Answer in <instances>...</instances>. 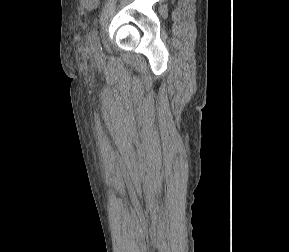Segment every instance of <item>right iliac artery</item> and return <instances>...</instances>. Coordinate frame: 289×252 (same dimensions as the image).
Instances as JSON below:
<instances>
[{
    "label": "right iliac artery",
    "mask_w": 289,
    "mask_h": 252,
    "mask_svg": "<svg viewBox=\"0 0 289 252\" xmlns=\"http://www.w3.org/2000/svg\"><path fill=\"white\" fill-rule=\"evenodd\" d=\"M92 43H93V49L96 51V53H101L102 48H101V45H100V42H99L97 29H94V31H93Z\"/></svg>",
    "instance_id": "82829eb1"
}]
</instances>
